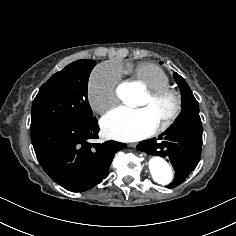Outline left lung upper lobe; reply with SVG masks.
Listing matches in <instances>:
<instances>
[{
  "instance_id": "left-lung-upper-lobe-1",
  "label": "left lung upper lobe",
  "mask_w": 236,
  "mask_h": 236,
  "mask_svg": "<svg viewBox=\"0 0 236 236\" xmlns=\"http://www.w3.org/2000/svg\"><path fill=\"white\" fill-rule=\"evenodd\" d=\"M174 79L180 87L182 94V110L175 123H190L202 125L199 116V104L195 99L191 89L185 80L176 72H174Z\"/></svg>"
}]
</instances>
